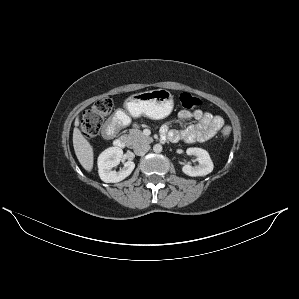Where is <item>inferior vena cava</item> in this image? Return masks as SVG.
Segmentation results:
<instances>
[{"mask_svg": "<svg viewBox=\"0 0 299 299\" xmlns=\"http://www.w3.org/2000/svg\"><path fill=\"white\" fill-rule=\"evenodd\" d=\"M149 149H150V145L149 144L142 143V144L137 145L134 148V153L136 155H140L141 156V155L146 154L149 151Z\"/></svg>", "mask_w": 299, "mask_h": 299, "instance_id": "obj_1", "label": "inferior vena cava"}]
</instances>
